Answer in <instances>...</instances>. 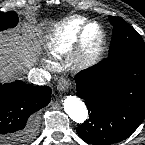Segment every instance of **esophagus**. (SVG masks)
I'll return each mask as SVG.
<instances>
[{"mask_svg":"<svg viewBox=\"0 0 145 145\" xmlns=\"http://www.w3.org/2000/svg\"><path fill=\"white\" fill-rule=\"evenodd\" d=\"M70 86V82L66 79H61L57 84V89L61 92H65Z\"/></svg>","mask_w":145,"mask_h":145,"instance_id":"esophagus-1","label":"esophagus"}]
</instances>
